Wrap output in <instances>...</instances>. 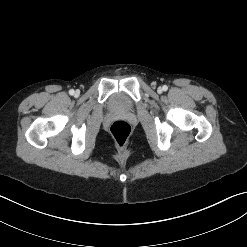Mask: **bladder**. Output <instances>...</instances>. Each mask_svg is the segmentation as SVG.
<instances>
[{"label": "bladder", "instance_id": "obj_1", "mask_svg": "<svg viewBox=\"0 0 247 247\" xmlns=\"http://www.w3.org/2000/svg\"><path fill=\"white\" fill-rule=\"evenodd\" d=\"M112 106L116 109H123L126 107V98L121 95L117 94L112 99Z\"/></svg>", "mask_w": 247, "mask_h": 247}]
</instances>
